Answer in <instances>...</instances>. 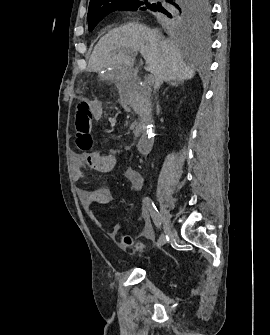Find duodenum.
Returning <instances> with one entry per match:
<instances>
[{"label":"duodenum","mask_w":270,"mask_h":335,"mask_svg":"<svg viewBox=\"0 0 270 335\" xmlns=\"http://www.w3.org/2000/svg\"><path fill=\"white\" fill-rule=\"evenodd\" d=\"M121 92L124 108L141 116L143 130L137 140V149L141 154H147L152 148L154 135L152 128H149L151 123V105L146 91L135 81L127 80L121 84Z\"/></svg>","instance_id":"410a0bca"}]
</instances>
